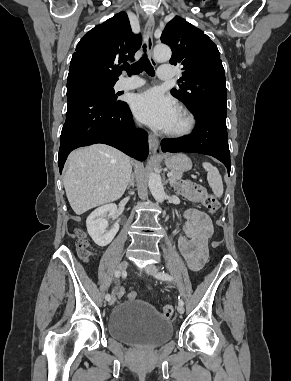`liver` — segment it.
I'll list each match as a JSON object with an SVG mask.
<instances>
[{
  "label": "liver",
  "instance_id": "1",
  "mask_svg": "<svg viewBox=\"0 0 291 381\" xmlns=\"http://www.w3.org/2000/svg\"><path fill=\"white\" fill-rule=\"evenodd\" d=\"M130 158L104 144L77 149L67 159L64 187L77 215L118 200L131 178Z\"/></svg>",
  "mask_w": 291,
  "mask_h": 381
}]
</instances>
